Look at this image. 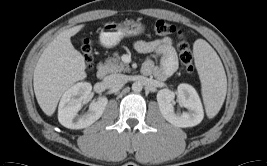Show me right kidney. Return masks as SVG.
I'll return each instance as SVG.
<instances>
[{"instance_id": "obj_1", "label": "right kidney", "mask_w": 267, "mask_h": 166, "mask_svg": "<svg viewBox=\"0 0 267 166\" xmlns=\"http://www.w3.org/2000/svg\"><path fill=\"white\" fill-rule=\"evenodd\" d=\"M91 90L90 83L79 82L63 94L58 107V120L61 125L70 129H83L102 116L108 102L107 98L91 102L88 112L82 116L78 115L82 104L89 101Z\"/></svg>"}]
</instances>
